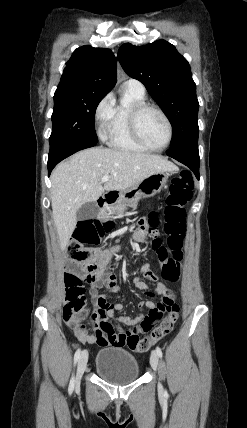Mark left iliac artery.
I'll list each match as a JSON object with an SVG mask.
<instances>
[{
  "mask_svg": "<svg viewBox=\"0 0 247 428\" xmlns=\"http://www.w3.org/2000/svg\"><path fill=\"white\" fill-rule=\"evenodd\" d=\"M156 353L160 358L162 357V351H161L160 347H158V346L156 347Z\"/></svg>",
  "mask_w": 247,
  "mask_h": 428,
  "instance_id": "obj_1",
  "label": "left iliac artery"
}]
</instances>
